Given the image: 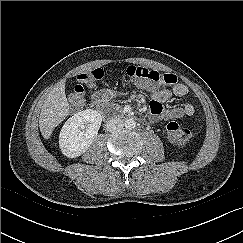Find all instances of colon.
<instances>
[{"mask_svg": "<svg viewBox=\"0 0 243 243\" xmlns=\"http://www.w3.org/2000/svg\"><path fill=\"white\" fill-rule=\"evenodd\" d=\"M126 74L137 83L151 86H172L177 83L174 74L159 72L145 67L131 65L126 69ZM104 72L101 68L83 72L77 76L78 84L70 93V101L78 108L85 105V90L83 84H94L102 79ZM168 134L173 142L179 145L186 144L190 138V131L179 123L172 121L167 124Z\"/></svg>", "mask_w": 243, "mask_h": 243, "instance_id": "1", "label": "colon"}]
</instances>
